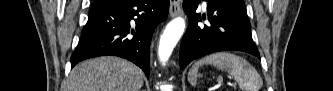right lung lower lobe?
I'll return each mask as SVG.
<instances>
[{
	"mask_svg": "<svg viewBox=\"0 0 333 91\" xmlns=\"http://www.w3.org/2000/svg\"><path fill=\"white\" fill-rule=\"evenodd\" d=\"M168 10L169 0H124L112 6L92 7L71 57V67L87 58L114 55L135 63L149 76L152 34L166 19ZM132 19L136 25L130 24Z\"/></svg>",
	"mask_w": 333,
	"mask_h": 91,
	"instance_id": "98d812e1",
	"label": "right lung lower lobe"
}]
</instances>
